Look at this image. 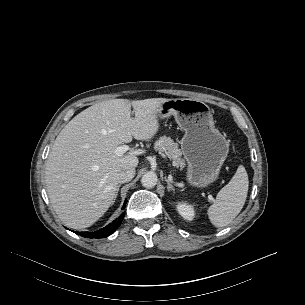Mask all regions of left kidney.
Here are the masks:
<instances>
[{
  "instance_id": "5707ae66",
  "label": "left kidney",
  "mask_w": 305,
  "mask_h": 305,
  "mask_svg": "<svg viewBox=\"0 0 305 305\" xmlns=\"http://www.w3.org/2000/svg\"><path fill=\"white\" fill-rule=\"evenodd\" d=\"M178 213L186 220H193L195 217L194 207L184 202H178L176 205Z\"/></svg>"
}]
</instances>
